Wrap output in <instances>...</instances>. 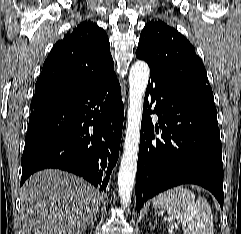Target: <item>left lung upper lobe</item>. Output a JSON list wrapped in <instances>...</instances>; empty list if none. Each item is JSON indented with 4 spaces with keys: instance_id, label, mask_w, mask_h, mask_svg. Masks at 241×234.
<instances>
[{
    "instance_id": "obj_1",
    "label": "left lung upper lobe",
    "mask_w": 241,
    "mask_h": 234,
    "mask_svg": "<svg viewBox=\"0 0 241 234\" xmlns=\"http://www.w3.org/2000/svg\"><path fill=\"white\" fill-rule=\"evenodd\" d=\"M136 56L148 63L150 72L213 98L205 67L194 47L163 21H151L143 28Z\"/></svg>"
}]
</instances>
